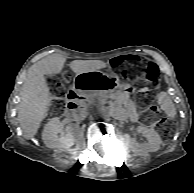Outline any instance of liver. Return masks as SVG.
I'll use <instances>...</instances> for the list:
<instances>
[{
	"label": "liver",
	"instance_id": "1",
	"mask_svg": "<svg viewBox=\"0 0 194 193\" xmlns=\"http://www.w3.org/2000/svg\"><path fill=\"white\" fill-rule=\"evenodd\" d=\"M65 62V57L51 55L33 64L27 72L18 108V121L27 139L36 135L51 105L52 96L45 75L60 73ZM105 67L106 63L101 60H73L70 63V68L76 74Z\"/></svg>",
	"mask_w": 194,
	"mask_h": 193
}]
</instances>
